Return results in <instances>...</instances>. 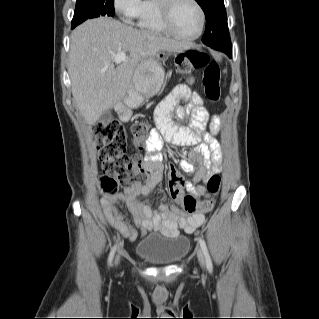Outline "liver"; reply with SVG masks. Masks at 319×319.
Returning <instances> with one entry per match:
<instances>
[{
	"instance_id": "1",
	"label": "liver",
	"mask_w": 319,
	"mask_h": 319,
	"mask_svg": "<svg viewBox=\"0 0 319 319\" xmlns=\"http://www.w3.org/2000/svg\"><path fill=\"white\" fill-rule=\"evenodd\" d=\"M189 47L108 17L76 27L71 34L68 71L74 101L86 122L95 124L125 97L141 62L160 51L179 53ZM119 52H128L129 57L115 68L113 60Z\"/></svg>"
}]
</instances>
